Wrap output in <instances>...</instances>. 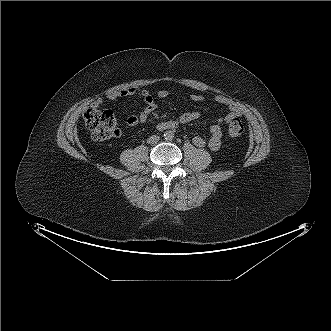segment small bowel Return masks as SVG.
<instances>
[{
    "instance_id": "c3829d8e",
    "label": "small bowel",
    "mask_w": 331,
    "mask_h": 331,
    "mask_svg": "<svg viewBox=\"0 0 331 331\" xmlns=\"http://www.w3.org/2000/svg\"><path fill=\"white\" fill-rule=\"evenodd\" d=\"M129 96H136L145 104L144 109L138 115H130L126 119L128 126L137 127L138 125L143 124L148 120L149 116L156 109L157 105L154 97L150 94V92L138 87L110 91L106 94V98L110 101ZM157 96L161 99L167 98L169 96V92L167 90H160L158 91ZM190 98L195 102H203L206 100V97L201 94H191ZM213 100L218 104L226 106L229 112L225 116L219 118L217 123L210 127V138L208 140H205L201 136H195L192 141L193 144L197 147H204L207 145L210 150L217 151L222 144L223 130L225 126H227L233 119L240 117L243 113V110L238 103L234 102L232 99L226 96L216 95L213 97ZM103 103V99L100 98L93 102L92 106L99 108L103 105ZM199 117L200 114L197 111H186L179 117L178 121L161 122L158 125V128L160 130H164V126L168 122H175L177 125L187 124L198 120Z\"/></svg>"
}]
</instances>
